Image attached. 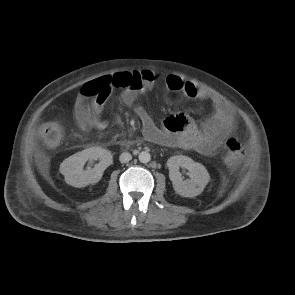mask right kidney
I'll use <instances>...</instances> for the list:
<instances>
[{
    "mask_svg": "<svg viewBox=\"0 0 295 295\" xmlns=\"http://www.w3.org/2000/svg\"><path fill=\"white\" fill-rule=\"evenodd\" d=\"M97 159L100 162L93 168L83 170V166L88 160L93 161ZM112 162V154L109 150L101 147H91L65 159L60 165V172L64 175L67 184L81 188L97 183L102 178L104 170Z\"/></svg>",
    "mask_w": 295,
    "mask_h": 295,
    "instance_id": "1",
    "label": "right kidney"
}]
</instances>
